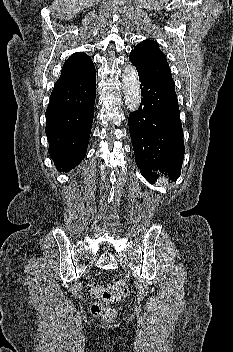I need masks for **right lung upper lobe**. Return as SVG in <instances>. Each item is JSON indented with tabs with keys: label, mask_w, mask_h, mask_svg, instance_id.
I'll use <instances>...</instances> for the list:
<instances>
[{
	"label": "right lung upper lobe",
	"mask_w": 233,
	"mask_h": 352,
	"mask_svg": "<svg viewBox=\"0 0 233 352\" xmlns=\"http://www.w3.org/2000/svg\"><path fill=\"white\" fill-rule=\"evenodd\" d=\"M93 68V62L87 54L83 52L75 53L70 56L64 63L61 71V76L57 82H64L75 79Z\"/></svg>",
	"instance_id": "1"
}]
</instances>
